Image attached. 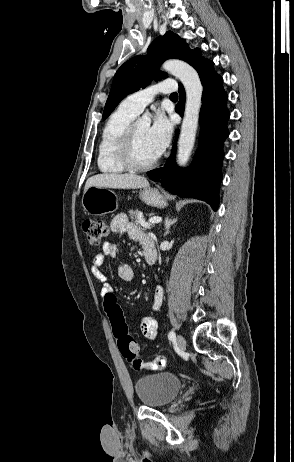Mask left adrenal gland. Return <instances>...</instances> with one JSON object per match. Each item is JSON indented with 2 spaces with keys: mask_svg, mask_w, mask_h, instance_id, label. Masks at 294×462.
Masks as SVG:
<instances>
[{
  "mask_svg": "<svg viewBox=\"0 0 294 462\" xmlns=\"http://www.w3.org/2000/svg\"><path fill=\"white\" fill-rule=\"evenodd\" d=\"M176 221H177V218L169 219V218L167 217V218L165 219V221H164V225H165V233H164V236H166V235L169 233V229H170L171 225H173Z\"/></svg>",
  "mask_w": 294,
  "mask_h": 462,
  "instance_id": "obj_1",
  "label": "left adrenal gland"
}]
</instances>
